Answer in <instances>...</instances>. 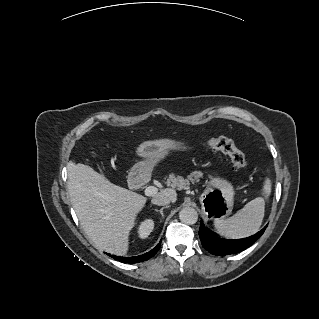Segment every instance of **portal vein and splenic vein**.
<instances>
[{"instance_id": "18ae733b", "label": "portal vein and splenic vein", "mask_w": 319, "mask_h": 319, "mask_svg": "<svg viewBox=\"0 0 319 319\" xmlns=\"http://www.w3.org/2000/svg\"><path fill=\"white\" fill-rule=\"evenodd\" d=\"M157 188L156 187H154V186H150V187H148L147 188V195L148 196H153V195H155V194H157Z\"/></svg>"}]
</instances>
